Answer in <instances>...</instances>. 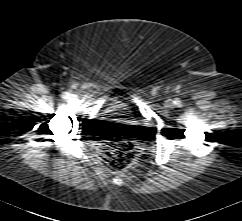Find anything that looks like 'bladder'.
Listing matches in <instances>:
<instances>
[{
	"label": "bladder",
	"mask_w": 242,
	"mask_h": 221,
	"mask_svg": "<svg viewBox=\"0 0 242 221\" xmlns=\"http://www.w3.org/2000/svg\"><path fill=\"white\" fill-rule=\"evenodd\" d=\"M111 114H123L130 112V106L123 102L112 103L107 107Z\"/></svg>",
	"instance_id": "bladder-1"
}]
</instances>
